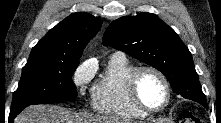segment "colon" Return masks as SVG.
Returning a JSON list of instances; mask_svg holds the SVG:
<instances>
[{"mask_svg": "<svg viewBox=\"0 0 221 123\" xmlns=\"http://www.w3.org/2000/svg\"><path fill=\"white\" fill-rule=\"evenodd\" d=\"M180 123H200V119L190 111H182L179 116Z\"/></svg>", "mask_w": 221, "mask_h": 123, "instance_id": "obj_1", "label": "colon"}]
</instances>
